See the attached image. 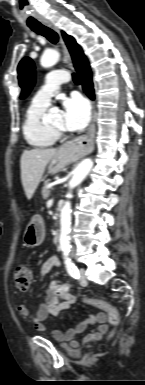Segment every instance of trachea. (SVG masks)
Segmentation results:
<instances>
[{"label": "trachea", "mask_w": 145, "mask_h": 385, "mask_svg": "<svg viewBox=\"0 0 145 385\" xmlns=\"http://www.w3.org/2000/svg\"><path fill=\"white\" fill-rule=\"evenodd\" d=\"M31 30H33L35 33L40 34L47 38L51 43L57 44L59 40L58 34L52 30L51 28L44 26L43 24H37V25H32L29 26ZM73 81L76 85H79L81 82L80 77L76 74H72Z\"/></svg>", "instance_id": "3493384b"}]
</instances>
